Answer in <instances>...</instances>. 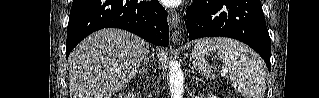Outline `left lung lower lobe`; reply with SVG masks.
I'll return each mask as SVG.
<instances>
[{"mask_svg": "<svg viewBox=\"0 0 319 98\" xmlns=\"http://www.w3.org/2000/svg\"><path fill=\"white\" fill-rule=\"evenodd\" d=\"M184 20L188 40L213 36L240 40L264 58L270 71V37L260 0H193Z\"/></svg>", "mask_w": 319, "mask_h": 98, "instance_id": "obj_1", "label": "left lung lower lobe"}]
</instances>
